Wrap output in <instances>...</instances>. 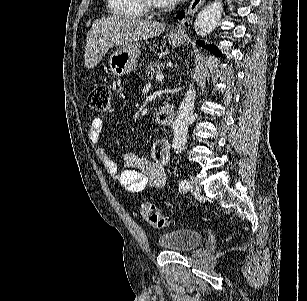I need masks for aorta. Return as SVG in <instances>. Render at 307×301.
Segmentation results:
<instances>
[{
  "label": "aorta",
  "mask_w": 307,
  "mask_h": 301,
  "mask_svg": "<svg viewBox=\"0 0 307 301\" xmlns=\"http://www.w3.org/2000/svg\"><path fill=\"white\" fill-rule=\"evenodd\" d=\"M222 10V0H214V2H210L207 6H204L194 22L196 34L206 36V34L212 32L222 16ZM195 96V84L194 82H190L189 90L184 94V98L181 104H179L177 116L174 122H172L173 148H175V151H179V153L184 151L187 142L189 122L195 108Z\"/></svg>",
  "instance_id": "aorta-1"
}]
</instances>
